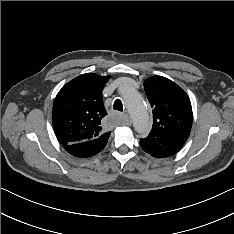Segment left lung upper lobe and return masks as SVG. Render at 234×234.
I'll return each instance as SVG.
<instances>
[{
    "mask_svg": "<svg viewBox=\"0 0 234 234\" xmlns=\"http://www.w3.org/2000/svg\"><path fill=\"white\" fill-rule=\"evenodd\" d=\"M153 108V127L148 136L165 138L184 145L192 126V107L188 95L173 81L153 76L144 82Z\"/></svg>",
    "mask_w": 234,
    "mask_h": 234,
    "instance_id": "left-lung-upper-lobe-1",
    "label": "left lung upper lobe"
}]
</instances>
